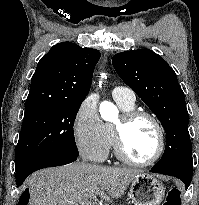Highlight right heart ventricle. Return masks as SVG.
Listing matches in <instances>:
<instances>
[{"instance_id":"e07e8e85","label":"right heart ventricle","mask_w":199,"mask_h":205,"mask_svg":"<svg viewBox=\"0 0 199 205\" xmlns=\"http://www.w3.org/2000/svg\"><path fill=\"white\" fill-rule=\"evenodd\" d=\"M116 102L123 112L131 111L134 110L135 108V103H128L122 100H116ZM105 127L110 138V146H111L113 144L112 126L110 124H106Z\"/></svg>"}]
</instances>
